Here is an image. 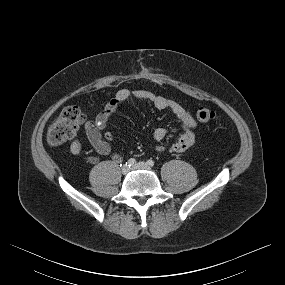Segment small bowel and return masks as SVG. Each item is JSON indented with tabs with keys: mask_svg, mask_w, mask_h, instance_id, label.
I'll list each match as a JSON object with an SVG mask.
<instances>
[{
	"mask_svg": "<svg viewBox=\"0 0 285 285\" xmlns=\"http://www.w3.org/2000/svg\"><path fill=\"white\" fill-rule=\"evenodd\" d=\"M131 98L148 101L157 109L169 111L177 118L182 131L177 141L171 147L172 152L183 153L188 151L194 145V129L196 124L191 114L182 105L174 100L157 95L148 90L121 89L114 94L94 120H89L84 125V132L90 144L99 155L106 156L111 154L110 141L113 139V133L110 130L102 131L107 126L109 120L114 116L116 110ZM167 133L165 128H158L153 133V139L160 142L167 136ZM82 149V142L78 138H74L70 143V152L73 155H80ZM156 149L157 151L162 152L165 150V147L159 145ZM111 158L116 163L122 161V155L117 152L112 153ZM84 161L95 164L99 161V158L88 155L84 157Z\"/></svg>",
	"mask_w": 285,
	"mask_h": 285,
	"instance_id": "small-bowel-1",
	"label": "small bowel"
}]
</instances>
